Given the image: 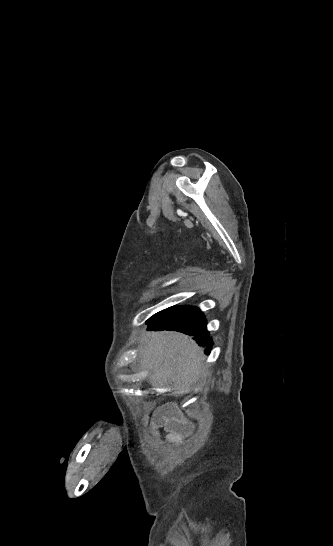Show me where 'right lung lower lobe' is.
Wrapping results in <instances>:
<instances>
[{"label":"right lung lower lobe","instance_id":"obj_1","mask_svg":"<svg viewBox=\"0 0 333 546\" xmlns=\"http://www.w3.org/2000/svg\"><path fill=\"white\" fill-rule=\"evenodd\" d=\"M203 312L194 306L171 307L160 311L148 320L149 330H174L193 336V339L209 354L212 339L206 329Z\"/></svg>","mask_w":333,"mask_h":546}]
</instances>
